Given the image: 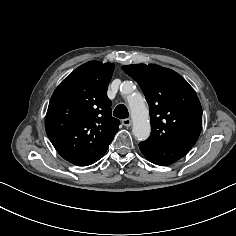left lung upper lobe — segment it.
<instances>
[{
	"label": "left lung upper lobe",
	"instance_id": "1",
	"mask_svg": "<svg viewBox=\"0 0 236 236\" xmlns=\"http://www.w3.org/2000/svg\"><path fill=\"white\" fill-rule=\"evenodd\" d=\"M141 87L149 105V145H195L202 129V107L194 89L173 70L155 64L122 66Z\"/></svg>",
	"mask_w": 236,
	"mask_h": 236
}]
</instances>
